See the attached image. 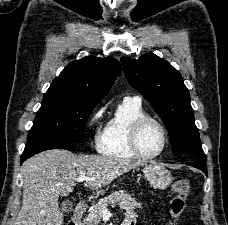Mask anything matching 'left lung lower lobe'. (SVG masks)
Wrapping results in <instances>:
<instances>
[{
	"label": "left lung lower lobe",
	"mask_w": 228,
	"mask_h": 225,
	"mask_svg": "<svg viewBox=\"0 0 228 225\" xmlns=\"http://www.w3.org/2000/svg\"><path fill=\"white\" fill-rule=\"evenodd\" d=\"M186 164L189 165V166H192V167H195V168H198V169L202 170L207 176V169L204 166L203 161L194 160L193 162H189V163H186Z\"/></svg>",
	"instance_id": "left-lung-lower-lobe-1"
}]
</instances>
